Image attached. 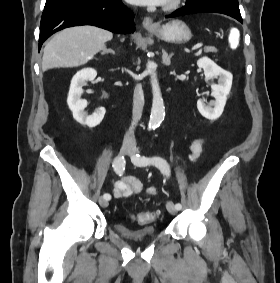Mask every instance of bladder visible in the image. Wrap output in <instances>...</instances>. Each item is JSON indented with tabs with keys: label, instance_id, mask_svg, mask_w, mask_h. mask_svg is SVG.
<instances>
[{
	"label": "bladder",
	"instance_id": "obj_1",
	"mask_svg": "<svg viewBox=\"0 0 280 283\" xmlns=\"http://www.w3.org/2000/svg\"><path fill=\"white\" fill-rule=\"evenodd\" d=\"M114 229L120 236L133 241H144L156 235L155 227L152 225L132 229L121 222H117L114 224Z\"/></svg>",
	"mask_w": 280,
	"mask_h": 283
}]
</instances>
